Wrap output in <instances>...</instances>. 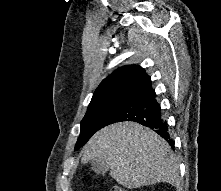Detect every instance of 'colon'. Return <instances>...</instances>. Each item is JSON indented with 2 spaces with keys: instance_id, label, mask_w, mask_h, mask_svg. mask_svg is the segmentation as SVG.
<instances>
[{
  "instance_id": "5ec220e1",
  "label": "colon",
  "mask_w": 221,
  "mask_h": 191,
  "mask_svg": "<svg viewBox=\"0 0 221 191\" xmlns=\"http://www.w3.org/2000/svg\"><path fill=\"white\" fill-rule=\"evenodd\" d=\"M110 191H125L123 188L118 187V186H114L110 189Z\"/></svg>"
}]
</instances>
